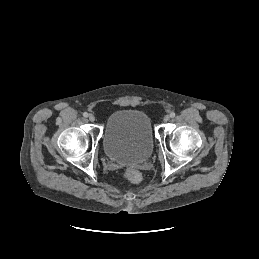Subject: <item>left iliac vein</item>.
Wrapping results in <instances>:
<instances>
[{
  "mask_svg": "<svg viewBox=\"0 0 259 259\" xmlns=\"http://www.w3.org/2000/svg\"><path fill=\"white\" fill-rule=\"evenodd\" d=\"M170 120V117L168 115L164 116L163 121L168 122Z\"/></svg>",
  "mask_w": 259,
  "mask_h": 259,
  "instance_id": "4c4485c4",
  "label": "left iliac vein"
}]
</instances>
